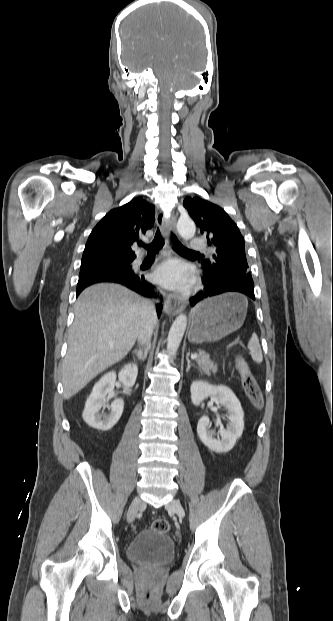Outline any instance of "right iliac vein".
Returning a JSON list of instances; mask_svg holds the SVG:
<instances>
[{
  "label": "right iliac vein",
  "mask_w": 333,
  "mask_h": 621,
  "mask_svg": "<svg viewBox=\"0 0 333 621\" xmlns=\"http://www.w3.org/2000/svg\"><path fill=\"white\" fill-rule=\"evenodd\" d=\"M142 505V500L140 499V497H135L129 507L128 513H127V520L129 522L134 521L138 510L140 508V506Z\"/></svg>",
  "instance_id": "obj_1"
}]
</instances>
